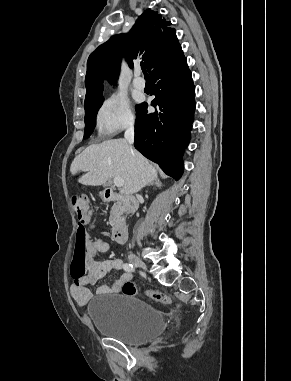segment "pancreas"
<instances>
[{"label":"pancreas","instance_id":"1","mask_svg":"<svg viewBox=\"0 0 291 381\" xmlns=\"http://www.w3.org/2000/svg\"><path fill=\"white\" fill-rule=\"evenodd\" d=\"M118 220H119V214L116 211V207L114 206L110 212V218H109L110 225L112 227L115 226Z\"/></svg>","mask_w":291,"mask_h":381}]
</instances>
